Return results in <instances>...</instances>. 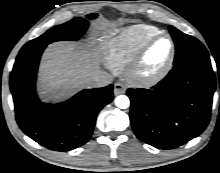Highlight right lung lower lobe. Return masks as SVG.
I'll list each match as a JSON object with an SVG mask.
<instances>
[{
    "label": "right lung lower lobe",
    "instance_id": "right-lung-lower-lobe-1",
    "mask_svg": "<svg viewBox=\"0 0 220 173\" xmlns=\"http://www.w3.org/2000/svg\"><path fill=\"white\" fill-rule=\"evenodd\" d=\"M45 47L19 52L16 58L10 76L16 120L40 145L54 151L73 150L90 139L97 114L113 99V85L83 90L64 103H41L35 81Z\"/></svg>",
    "mask_w": 220,
    "mask_h": 173
}]
</instances>
